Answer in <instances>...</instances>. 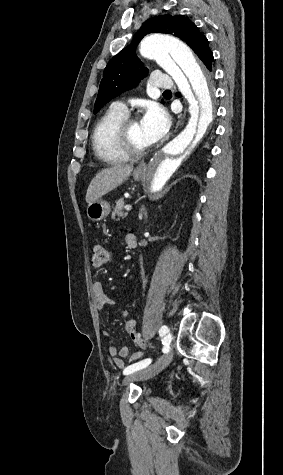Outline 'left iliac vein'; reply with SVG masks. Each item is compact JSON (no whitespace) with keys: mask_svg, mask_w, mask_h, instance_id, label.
Instances as JSON below:
<instances>
[{"mask_svg":"<svg viewBox=\"0 0 283 475\" xmlns=\"http://www.w3.org/2000/svg\"><path fill=\"white\" fill-rule=\"evenodd\" d=\"M171 339L172 334L168 333L166 336V340L168 341V343L169 341H171ZM172 357L173 352L172 349H170L166 354H163L154 364L126 376L123 380V385H127L133 381L148 380L154 377L168 365V363L172 360Z\"/></svg>","mask_w":283,"mask_h":475,"instance_id":"1","label":"left iliac vein"}]
</instances>
